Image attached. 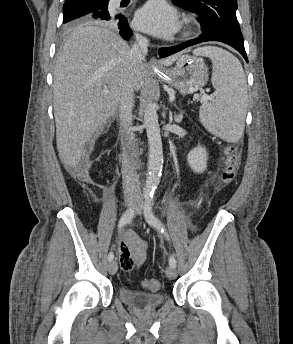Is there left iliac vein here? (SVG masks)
Listing matches in <instances>:
<instances>
[{
  "label": "left iliac vein",
  "mask_w": 293,
  "mask_h": 344,
  "mask_svg": "<svg viewBox=\"0 0 293 344\" xmlns=\"http://www.w3.org/2000/svg\"><path fill=\"white\" fill-rule=\"evenodd\" d=\"M141 212H142V206L139 205L137 208V214H141ZM165 273L169 279H175L177 277V271L175 267H172V266L167 267Z\"/></svg>",
  "instance_id": "4c4485c4"
}]
</instances>
